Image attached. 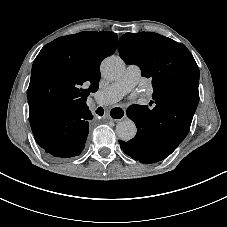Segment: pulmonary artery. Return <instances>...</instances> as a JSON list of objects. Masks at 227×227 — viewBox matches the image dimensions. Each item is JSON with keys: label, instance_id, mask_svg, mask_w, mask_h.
Masks as SVG:
<instances>
[{"label": "pulmonary artery", "instance_id": "1", "mask_svg": "<svg viewBox=\"0 0 227 227\" xmlns=\"http://www.w3.org/2000/svg\"><path fill=\"white\" fill-rule=\"evenodd\" d=\"M151 97L153 83L141 78V69L137 65H128L124 74L109 86L97 91L94 95L96 104L108 106L118 102L133 88Z\"/></svg>", "mask_w": 227, "mask_h": 227}]
</instances>
